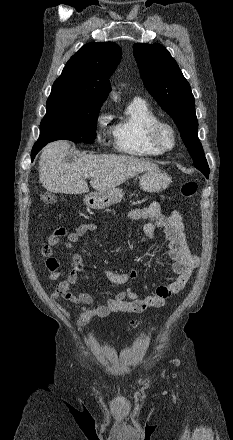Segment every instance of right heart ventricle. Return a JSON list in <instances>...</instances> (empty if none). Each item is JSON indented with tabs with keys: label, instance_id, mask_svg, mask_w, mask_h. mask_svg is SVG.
Wrapping results in <instances>:
<instances>
[{
	"label": "right heart ventricle",
	"instance_id": "right-heart-ventricle-1",
	"mask_svg": "<svg viewBox=\"0 0 233 440\" xmlns=\"http://www.w3.org/2000/svg\"><path fill=\"white\" fill-rule=\"evenodd\" d=\"M159 120L150 105L142 99L132 100L124 114L110 127V134L118 152L137 158L155 157L162 152L152 147L146 137L150 124Z\"/></svg>",
	"mask_w": 233,
	"mask_h": 440
}]
</instances>
